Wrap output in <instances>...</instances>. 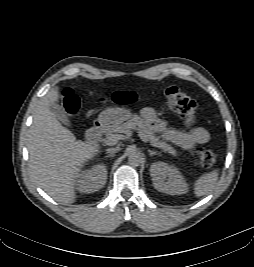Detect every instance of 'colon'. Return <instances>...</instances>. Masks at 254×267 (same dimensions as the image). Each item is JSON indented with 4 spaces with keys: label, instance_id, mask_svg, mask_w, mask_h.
<instances>
[{
    "label": "colon",
    "instance_id": "1",
    "mask_svg": "<svg viewBox=\"0 0 254 267\" xmlns=\"http://www.w3.org/2000/svg\"><path fill=\"white\" fill-rule=\"evenodd\" d=\"M164 97L168 108L182 116H193L197 111V103L178 87L171 86L165 89ZM111 100L117 104H130L137 100V94L132 91H116ZM62 103L69 115H75L80 109V99L71 88L62 92ZM198 163L202 167H211L216 162V155L208 149H199L197 152Z\"/></svg>",
    "mask_w": 254,
    "mask_h": 267
}]
</instances>
